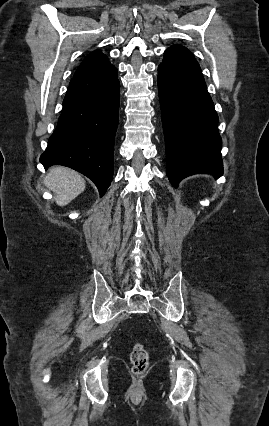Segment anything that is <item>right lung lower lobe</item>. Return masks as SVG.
Segmentation results:
<instances>
[{
    "instance_id": "98d812e1",
    "label": "right lung lower lobe",
    "mask_w": 269,
    "mask_h": 426,
    "mask_svg": "<svg viewBox=\"0 0 269 426\" xmlns=\"http://www.w3.org/2000/svg\"><path fill=\"white\" fill-rule=\"evenodd\" d=\"M117 69L74 76L62 114L40 157L45 168L70 167L88 178L103 196L113 176L114 139L119 116Z\"/></svg>"
}]
</instances>
